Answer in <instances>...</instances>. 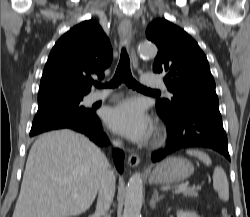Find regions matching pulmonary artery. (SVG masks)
<instances>
[{"mask_svg": "<svg viewBox=\"0 0 250 217\" xmlns=\"http://www.w3.org/2000/svg\"><path fill=\"white\" fill-rule=\"evenodd\" d=\"M141 82L144 86L149 88H160L168 92L165 83L161 80L155 79L151 74H144L142 76ZM110 92H97L93 93L88 97L89 103H94L100 100H104L109 97Z\"/></svg>", "mask_w": 250, "mask_h": 217, "instance_id": "e3ab8cb5", "label": "pulmonary artery"}]
</instances>
